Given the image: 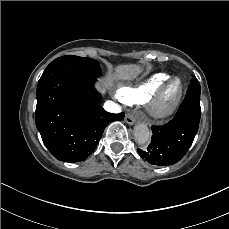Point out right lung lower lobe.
<instances>
[{"label": "right lung lower lobe", "instance_id": "right-lung-lower-lobe-1", "mask_svg": "<svg viewBox=\"0 0 229 229\" xmlns=\"http://www.w3.org/2000/svg\"><path fill=\"white\" fill-rule=\"evenodd\" d=\"M96 77L61 73L38 84L36 126L43 143L58 160H85L97 147L105 127L124 118L106 112L93 88Z\"/></svg>", "mask_w": 229, "mask_h": 229}]
</instances>
